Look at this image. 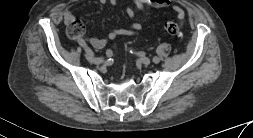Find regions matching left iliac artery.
<instances>
[{
  "label": "left iliac artery",
  "mask_w": 253,
  "mask_h": 138,
  "mask_svg": "<svg viewBox=\"0 0 253 138\" xmlns=\"http://www.w3.org/2000/svg\"><path fill=\"white\" fill-rule=\"evenodd\" d=\"M153 62L157 64L160 62V59L157 56H155L153 57Z\"/></svg>",
  "instance_id": "1"
}]
</instances>
